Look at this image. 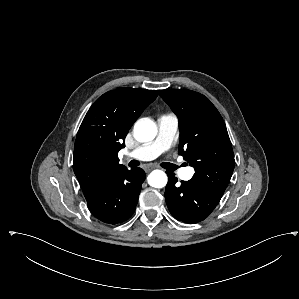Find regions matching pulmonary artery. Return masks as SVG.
<instances>
[{
	"instance_id": "e3ab8cb5",
	"label": "pulmonary artery",
	"mask_w": 299,
	"mask_h": 299,
	"mask_svg": "<svg viewBox=\"0 0 299 299\" xmlns=\"http://www.w3.org/2000/svg\"><path fill=\"white\" fill-rule=\"evenodd\" d=\"M178 130V119L174 114H163L158 119V134L155 140L143 144L135 150L128 152L127 157L148 161L158 157L170 148ZM194 174L191 167L181 168L179 176L183 180H189Z\"/></svg>"
}]
</instances>
